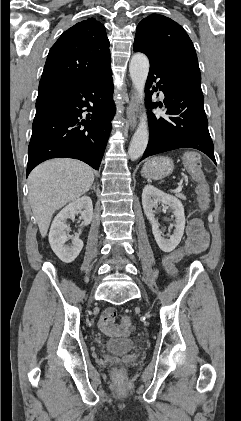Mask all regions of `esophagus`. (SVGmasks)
Instances as JSON below:
<instances>
[{
	"instance_id": "obj_1",
	"label": "esophagus",
	"mask_w": 241,
	"mask_h": 421,
	"mask_svg": "<svg viewBox=\"0 0 241 421\" xmlns=\"http://www.w3.org/2000/svg\"><path fill=\"white\" fill-rule=\"evenodd\" d=\"M126 116L128 119L129 127L133 130L136 127L137 118H138V106L136 101L135 92L131 90L130 102L126 109Z\"/></svg>"
}]
</instances>
